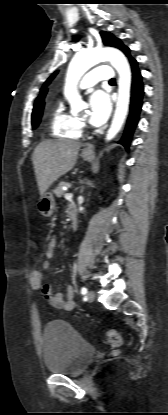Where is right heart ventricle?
<instances>
[{
    "label": "right heart ventricle",
    "instance_id": "obj_1",
    "mask_svg": "<svg viewBox=\"0 0 168 415\" xmlns=\"http://www.w3.org/2000/svg\"><path fill=\"white\" fill-rule=\"evenodd\" d=\"M50 132L56 138L79 139L82 127L79 120L66 110L65 104L60 102L52 112Z\"/></svg>",
    "mask_w": 168,
    "mask_h": 415
}]
</instances>
